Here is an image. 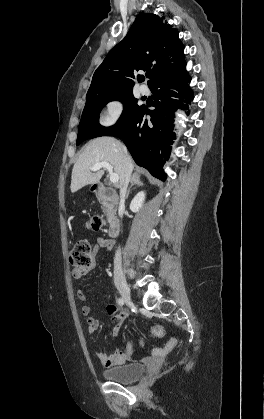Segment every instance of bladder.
<instances>
[{
  "label": "bladder",
  "mask_w": 264,
  "mask_h": 419,
  "mask_svg": "<svg viewBox=\"0 0 264 419\" xmlns=\"http://www.w3.org/2000/svg\"><path fill=\"white\" fill-rule=\"evenodd\" d=\"M145 373V366L139 362H128L103 371V377L112 382L130 383Z\"/></svg>",
  "instance_id": "obj_1"
}]
</instances>
